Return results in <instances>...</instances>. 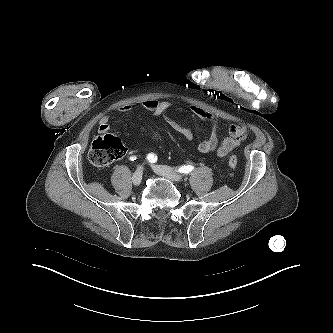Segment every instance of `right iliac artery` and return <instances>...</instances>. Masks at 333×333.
<instances>
[{
	"label": "right iliac artery",
	"mask_w": 333,
	"mask_h": 333,
	"mask_svg": "<svg viewBox=\"0 0 333 333\" xmlns=\"http://www.w3.org/2000/svg\"><path fill=\"white\" fill-rule=\"evenodd\" d=\"M147 160L150 163H155L157 161V156L153 153H150V154L147 155Z\"/></svg>",
	"instance_id": "1"
}]
</instances>
